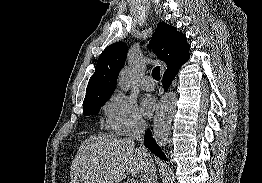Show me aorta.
<instances>
[{"label":"aorta","mask_w":262,"mask_h":183,"mask_svg":"<svg viewBox=\"0 0 262 183\" xmlns=\"http://www.w3.org/2000/svg\"><path fill=\"white\" fill-rule=\"evenodd\" d=\"M118 86L125 92L129 90V69L127 67L119 75ZM175 108L176 94L173 92L165 94L158 104L154 117L153 136L160 147H164L168 143Z\"/></svg>","instance_id":"aorta-1"}]
</instances>
